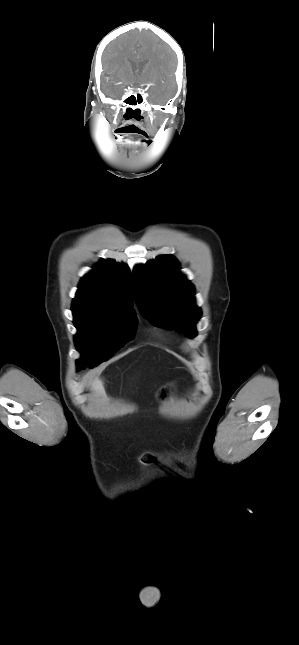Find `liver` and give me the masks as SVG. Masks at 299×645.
<instances>
[{"instance_id":"liver-1","label":"liver","mask_w":299,"mask_h":645,"mask_svg":"<svg viewBox=\"0 0 299 645\" xmlns=\"http://www.w3.org/2000/svg\"><path fill=\"white\" fill-rule=\"evenodd\" d=\"M91 390L97 395V396H102L105 397V389L104 385L101 379L96 378L92 383H91Z\"/></svg>"}]
</instances>
